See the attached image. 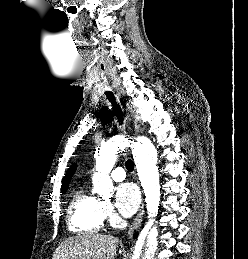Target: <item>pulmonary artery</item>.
Wrapping results in <instances>:
<instances>
[{
    "label": "pulmonary artery",
    "instance_id": "obj_1",
    "mask_svg": "<svg viewBox=\"0 0 248 259\" xmlns=\"http://www.w3.org/2000/svg\"><path fill=\"white\" fill-rule=\"evenodd\" d=\"M111 177L115 181H122L125 178V171L122 167H117L111 171Z\"/></svg>",
    "mask_w": 248,
    "mask_h": 259
}]
</instances>
